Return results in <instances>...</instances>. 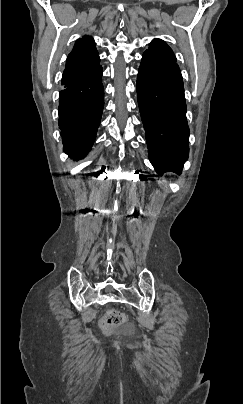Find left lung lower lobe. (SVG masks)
I'll return each mask as SVG.
<instances>
[{
	"label": "left lung lower lobe",
	"instance_id": "0a47b994",
	"mask_svg": "<svg viewBox=\"0 0 243 404\" xmlns=\"http://www.w3.org/2000/svg\"><path fill=\"white\" fill-rule=\"evenodd\" d=\"M137 98L150 162L159 175L168 171L181 174L189 154V127L177 63L144 52Z\"/></svg>",
	"mask_w": 243,
	"mask_h": 404
}]
</instances>
